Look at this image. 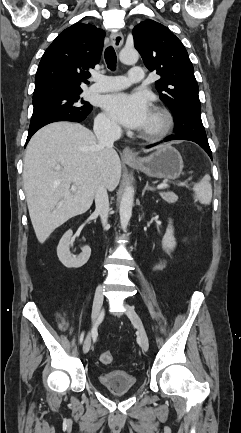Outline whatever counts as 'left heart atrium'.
I'll return each instance as SVG.
<instances>
[{"label":"left heart atrium","instance_id":"obj_1","mask_svg":"<svg viewBox=\"0 0 241 433\" xmlns=\"http://www.w3.org/2000/svg\"><path fill=\"white\" fill-rule=\"evenodd\" d=\"M107 114L122 126L130 129H145L151 117V103L142 93L119 92L103 98Z\"/></svg>","mask_w":241,"mask_h":433}]
</instances>
